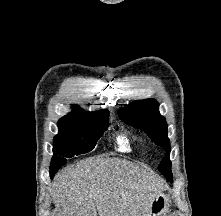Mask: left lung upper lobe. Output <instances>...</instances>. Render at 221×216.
Returning <instances> with one entry per match:
<instances>
[{
  "instance_id": "5c2ea615",
  "label": "left lung upper lobe",
  "mask_w": 221,
  "mask_h": 216,
  "mask_svg": "<svg viewBox=\"0 0 221 216\" xmlns=\"http://www.w3.org/2000/svg\"><path fill=\"white\" fill-rule=\"evenodd\" d=\"M158 106V102L154 99L138 100L120 109L118 115L122 121L144 130L156 144L168 150L158 170L168 181L172 182L171 161L169 159L171 147L167 137V123L165 118L160 115Z\"/></svg>"
}]
</instances>
